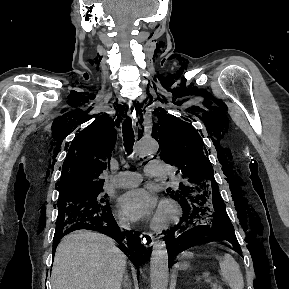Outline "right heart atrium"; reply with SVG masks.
<instances>
[{"instance_id": "1", "label": "right heart atrium", "mask_w": 289, "mask_h": 289, "mask_svg": "<svg viewBox=\"0 0 289 289\" xmlns=\"http://www.w3.org/2000/svg\"><path fill=\"white\" fill-rule=\"evenodd\" d=\"M117 221L121 226H124V227L128 226L127 219L122 215H117Z\"/></svg>"}]
</instances>
